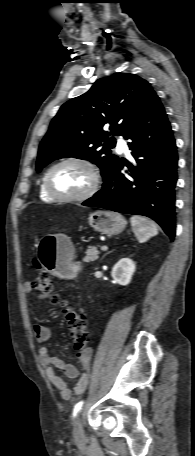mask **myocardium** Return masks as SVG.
Here are the masks:
<instances>
[{"mask_svg": "<svg viewBox=\"0 0 195 456\" xmlns=\"http://www.w3.org/2000/svg\"><path fill=\"white\" fill-rule=\"evenodd\" d=\"M67 163H76V164H80V165H83L85 166L90 174H91V184L89 186V188L79 194V195H74V196H65V195H61V194H58L57 192H55L51 185H50V175L51 173L59 166L61 165H64V164H67ZM100 182H101V179H100V174H99V171L97 169V167L89 160L85 159V158H80V157H68V158H65V159H62L60 161H58L57 163H55L54 165H52L45 173L44 177H43V186H44V189L46 191V193L53 199V200H57V201H60V202H83V201H86L88 200L89 198H91L99 189V186H100Z\"/></svg>", "mask_w": 195, "mask_h": 456, "instance_id": "1", "label": "myocardium"}]
</instances>
